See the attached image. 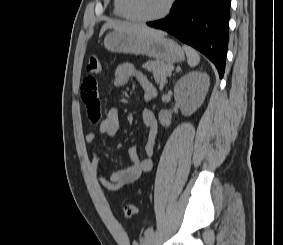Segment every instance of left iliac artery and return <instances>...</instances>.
<instances>
[{
  "label": "left iliac artery",
  "mask_w": 283,
  "mask_h": 245,
  "mask_svg": "<svg viewBox=\"0 0 283 245\" xmlns=\"http://www.w3.org/2000/svg\"><path fill=\"white\" fill-rule=\"evenodd\" d=\"M153 233H154V229H153L152 227H149V228H147V229L145 230L144 236H145V237H148V236H150V235L153 234Z\"/></svg>",
  "instance_id": "44dca946"
}]
</instances>
